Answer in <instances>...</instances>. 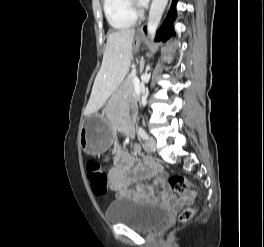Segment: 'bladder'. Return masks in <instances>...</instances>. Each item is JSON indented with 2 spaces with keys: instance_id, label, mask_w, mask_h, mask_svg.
Wrapping results in <instances>:
<instances>
[{
  "instance_id": "bladder-1",
  "label": "bladder",
  "mask_w": 264,
  "mask_h": 247,
  "mask_svg": "<svg viewBox=\"0 0 264 247\" xmlns=\"http://www.w3.org/2000/svg\"><path fill=\"white\" fill-rule=\"evenodd\" d=\"M106 219L112 224H123L137 231L150 232L164 224L168 214L160 206L122 198L109 204Z\"/></svg>"
}]
</instances>
